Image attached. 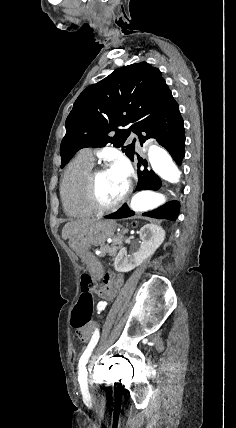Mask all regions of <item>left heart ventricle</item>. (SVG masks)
Here are the masks:
<instances>
[{"label":"left heart ventricle","instance_id":"left-heart-ventricle-1","mask_svg":"<svg viewBox=\"0 0 236 428\" xmlns=\"http://www.w3.org/2000/svg\"><path fill=\"white\" fill-rule=\"evenodd\" d=\"M129 182V175L126 172L110 169L106 171L98 180V194L106 203H113L119 200L125 193Z\"/></svg>","mask_w":236,"mask_h":428}]
</instances>
